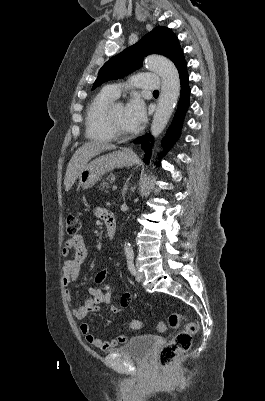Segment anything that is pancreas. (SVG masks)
Wrapping results in <instances>:
<instances>
[{"mask_svg":"<svg viewBox=\"0 0 265 401\" xmlns=\"http://www.w3.org/2000/svg\"><path fill=\"white\" fill-rule=\"evenodd\" d=\"M115 178V174H109V176H106V178H103L102 182L98 184L99 190H105V188H110L109 184L113 182ZM107 180H110V182H107Z\"/></svg>","mask_w":265,"mask_h":401,"instance_id":"pancreas-1","label":"pancreas"}]
</instances>
